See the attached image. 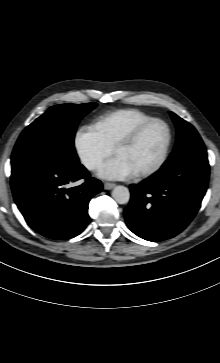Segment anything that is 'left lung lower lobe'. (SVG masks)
Masks as SVG:
<instances>
[{
  "mask_svg": "<svg viewBox=\"0 0 220 363\" xmlns=\"http://www.w3.org/2000/svg\"><path fill=\"white\" fill-rule=\"evenodd\" d=\"M209 179L207 153H190L165 162L152 176L130 185L126 223L137 236L162 241L179 234L196 215Z\"/></svg>",
  "mask_w": 220,
  "mask_h": 363,
  "instance_id": "obj_1",
  "label": "left lung lower lobe"
}]
</instances>
